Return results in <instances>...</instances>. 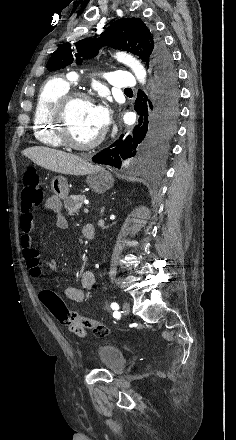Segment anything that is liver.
I'll return each mask as SVG.
<instances>
[{"mask_svg":"<svg viewBox=\"0 0 236 440\" xmlns=\"http://www.w3.org/2000/svg\"><path fill=\"white\" fill-rule=\"evenodd\" d=\"M23 155L38 166L65 175L82 176L97 168L78 156L47 147H31L25 149Z\"/></svg>","mask_w":236,"mask_h":440,"instance_id":"obj_1","label":"liver"}]
</instances>
